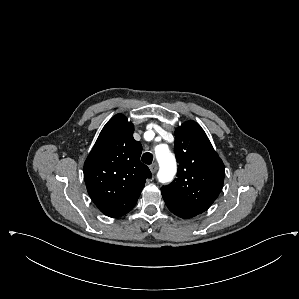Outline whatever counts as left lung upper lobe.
Listing matches in <instances>:
<instances>
[{
  "label": "left lung upper lobe",
  "instance_id": "1",
  "mask_svg": "<svg viewBox=\"0 0 299 299\" xmlns=\"http://www.w3.org/2000/svg\"><path fill=\"white\" fill-rule=\"evenodd\" d=\"M174 146L179 162L177 178L162 186V196L193 214H200L212 205L222 189L224 164L204 130L194 121L176 129Z\"/></svg>",
  "mask_w": 299,
  "mask_h": 299
}]
</instances>
